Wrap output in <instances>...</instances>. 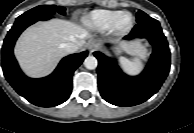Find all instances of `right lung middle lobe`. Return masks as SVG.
<instances>
[{
    "label": "right lung middle lobe",
    "mask_w": 194,
    "mask_h": 133,
    "mask_svg": "<svg viewBox=\"0 0 194 133\" xmlns=\"http://www.w3.org/2000/svg\"><path fill=\"white\" fill-rule=\"evenodd\" d=\"M65 8L62 6L56 7L55 5H40L37 6L21 16H19L17 19H34V18H39V17H44V16H52L56 12L64 15L65 14Z\"/></svg>",
    "instance_id": "obj_1"
}]
</instances>
